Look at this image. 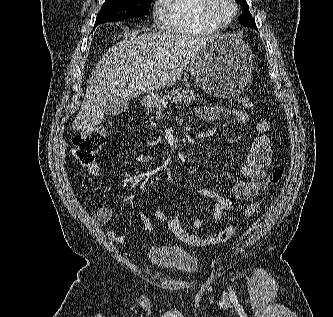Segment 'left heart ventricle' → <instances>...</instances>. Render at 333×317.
I'll use <instances>...</instances> for the list:
<instances>
[{
    "instance_id": "left-heart-ventricle-1",
    "label": "left heart ventricle",
    "mask_w": 333,
    "mask_h": 317,
    "mask_svg": "<svg viewBox=\"0 0 333 317\" xmlns=\"http://www.w3.org/2000/svg\"><path fill=\"white\" fill-rule=\"evenodd\" d=\"M233 12L232 4L229 0H215L214 13L221 19H227Z\"/></svg>"
}]
</instances>
